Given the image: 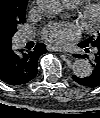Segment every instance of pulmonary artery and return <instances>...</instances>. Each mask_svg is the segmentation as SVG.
I'll list each match as a JSON object with an SVG mask.
<instances>
[{
	"mask_svg": "<svg viewBox=\"0 0 100 118\" xmlns=\"http://www.w3.org/2000/svg\"><path fill=\"white\" fill-rule=\"evenodd\" d=\"M69 7H75V5H69ZM23 38H24V40H27V39H29V35L28 34H25L24 36H23Z\"/></svg>",
	"mask_w": 100,
	"mask_h": 118,
	"instance_id": "1",
	"label": "pulmonary artery"
}]
</instances>
